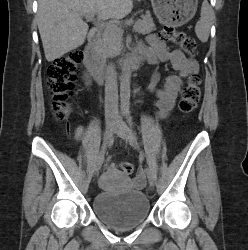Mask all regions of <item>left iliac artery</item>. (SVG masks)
Wrapping results in <instances>:
<instances>
[{
	"mask_svg": "<svg viewBox=\"0 0 248 250\" xmlns=\"http://www.w3.org/2000/svg\"><path fill=\"white\" fill-rule=\"evenodd\" d=\"M126 119H127V122L129 124V126H130V128H131V130H132V132L134 134V136L136 138H138L137 133H136V131L134 129V123H133V120H132V117H131L130 113H126Z\"/></svg>",
	"mask_w": 248,
	"mask_h": 250,
	"instance_id": "44dca946",
	"label": "left iliac artery"
}]
</instances>
